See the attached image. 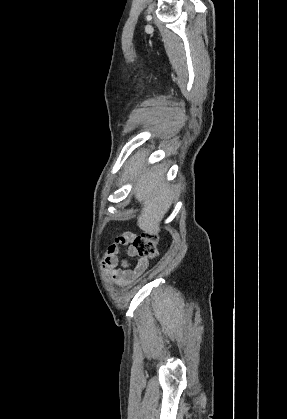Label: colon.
<instances>
[{
  "label": "colon",
  "instance_id": "obj_1",
  "mask_svg": "<svg viewBox=\"0 0 287 419\" xmlns=\"http://www.w3.org/2000/svg\"><path fill=\"white\" fill-rule=\"evenodd\" d=\"M130 246L135 255L143 260L152 259L158 254L157 237L151 234L134 236Z\"/></svg>",
  "mask_w": 287,
  "mask_h": 419
}]
</instances>
